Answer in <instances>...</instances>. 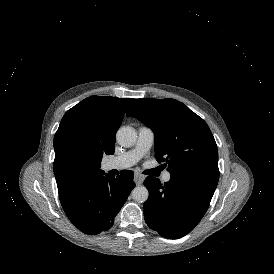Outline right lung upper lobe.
Masks as SVG:
<instances>
[{"label": "right lung upper lobe", "mask_w": 274, "mask_h": 274, "mask_svg": "<svg viewBox=\"0 0 274 274\" xmlns=\"http://www.w3.org/2000/svg\"><path fill=\"white\" fill-rule=\"evenodd\" d=\"M132 101L91 96L65 113L54 136L53 170L60 200L104 173L101 159L114 153L116 132Z\"/></svg>", "instance_id": "right-lung-upper-lobe-1"}]
</instances>
